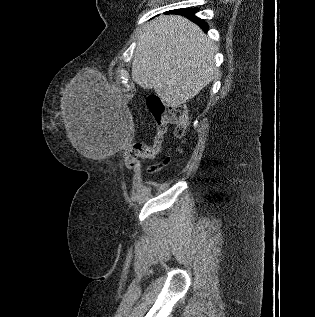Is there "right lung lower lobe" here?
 I'll return each instance as SVG.
<instances>
[{
	"mask_svg": "<svg viewBox=\"0 0 315 317\" xmlns=\"http://www.w3.org/2000/svg\"><path fill=\"white\" fill-rule=\"evenodd\" d=\"M198 11L196 8H187V9H178L171 11L172 13L175 14H180L183 15L187 18H190L192 21L197 23L203 30L207 31L208 30V25L205 23L203 20L197 18L194 14Z\"/></svg>",
	"mask_w": 315,
	"mask_h": 317,
	"instance_id": "1",
	"label": "right lung lower lobe"
}]
</instances>
